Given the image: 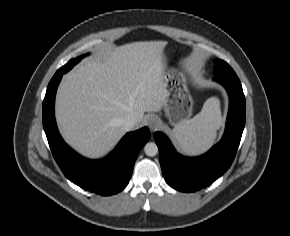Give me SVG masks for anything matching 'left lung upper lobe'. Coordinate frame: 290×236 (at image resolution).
<instances>
[{"mask_svg":"<svg viewBox=\"0 0 290 236\" xmlns=\"http://www.w3.org/2000/svg\"><path fill=\"white\" fill-rule=\"evenodd\" d=\"M214 63H215L214 73L216 75L235 73L233 69L223 60L216 59Z\"/></svg>","mask_w":290,"mask_h":236,"instance_id":"obj_1","label":"left lung upper lobe"}]
</instances>
